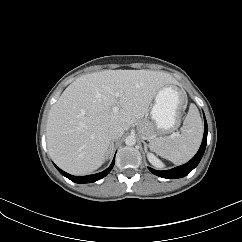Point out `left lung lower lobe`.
<instances>
[{
  "instance_id": "left-lung-lower-lobe-1",
  "label": "left lung lower lobe",
  "mask_w": 242,
  "mask_h": 242,
  "mask_svg": "<svg viewBox=\"0 0 242 242\" xmlns=\"http://www.w3.org/2000/svg\"><path fill=\"white\" fill-rule=\"evenodd\" d=\"M207 132H208V127H207V122L204 116V136H203V141L202 144L197 152V154L186 164L181 165L179 167L170 169V170H165V171H157L152 168H148L153 174L162 177V178H168V179H173V178H181L186 175H188L200 162L205 148H206V143H207Z\"/></svg>"
}]
</instances>
